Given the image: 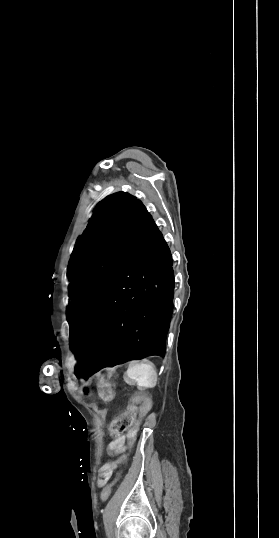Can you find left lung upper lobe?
<instances>
[{"mask_svg": "<svg viewBox=\"0 0 279 538\" xmlns=\"http://www.w3.org/2000/svg\"><path fill=\"white\" fill-rule=\"evenodd\" d=\"M154 225L145 206L118 192L99 203L69 262L67 320L76 328L114 281Z\"/></svg>", "mask_w": 279, "mask_h": 538, "instance_id": "obj_1", "label": "left lung upper lobe"}]
</instances>
